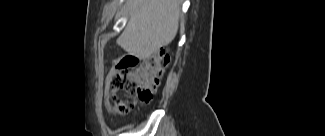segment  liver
Segmentation results:
<instances>
[{"instance_id": "liver-1", "label": "liver", "mask_w": 325, "mask_h": 136, "mask_svg": "<svg viewBox=\"0 0 325 136\" xmlns=\"http://www.w3.org/2000/svg\"><path fill=\"white\" fill-rule=\"evenodd\" d=\"M182 0H132L130 18L117 44L129 55L147 59L176 36Z\"/></svg>"}]
</instances>
